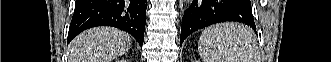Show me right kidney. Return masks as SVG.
<instances>
[{
    "label": "right kidney",
    "instance_id": "obj_1",
    "mask_svg": "<svg viewBox=\"0 0 331 62\" xmlns=\"http://www.w3.org/2000/svg\"><path fill=\"white\" fill-rule=\"evenodd\" d=\"M121 62H126V60H121Z\"/></svg>",
    "mask_w": 331,
    "mask_h": 62
}]
</instances>
